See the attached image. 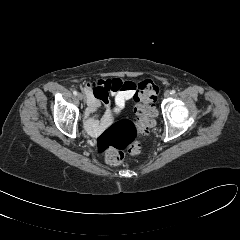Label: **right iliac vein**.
<instances>
[{
  "mask_svg": "<svg viewBox=\"0 0 240 240\" xmlns=\"http://www.w3.org/2000/svg\"><path fill=\"white\" fill-rule=\"evenodd\" d=\"M77 97H78L79 100H83V95H82V93H78V94H77Z\"/></svg>",
  "mask_w": 240,
  "mask_h": 240,
  "instance_id": "63e3f726",
  "label": "right iliac vein"
}]
</instances>
